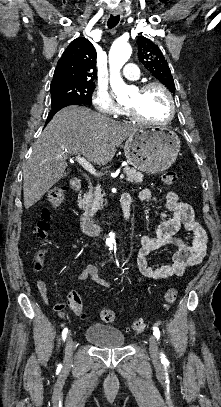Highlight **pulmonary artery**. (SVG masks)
Wrapping results in <instances>:
<instances>
[{"label":"pulmonary artery","instance_id":"obj_1","mask_svg":"<svg viewBox=\"0 0 221 407\" xmlns=\"http://www.w3.org/2000/svg\"><path fill=\"white\" fill-rule=\"evenodd\" d=\"M123 74L128 79L137 80L139 78V71L137 66L133 63H127L125 65Z\"/></svg>","mask_w":221,"mask_h":407}]
</instances>
